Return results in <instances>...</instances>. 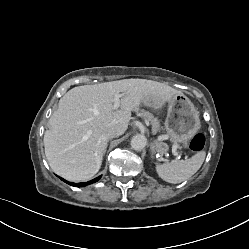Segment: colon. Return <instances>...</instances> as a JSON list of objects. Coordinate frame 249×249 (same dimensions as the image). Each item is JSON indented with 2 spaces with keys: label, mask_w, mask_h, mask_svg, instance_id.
Listing matches in <instances>:
<instances>
[{
  "label": "colon",
  "mask_w": 249,
  "mask_h": 249,
  "mask_svg": "<svg viewBox=\"0 0 249 249\" xmlns=\"http://www.w3.org/2000/svg\"><path fill=\"white\" fill-rule=\"evenodd\" d=\"M205 136L202 133H197L193 136V138L190 141V150L192 152H199L201 151L205 146Z\"/></svg>",
  "instance_id": "colon-1"
}]
</instances>
